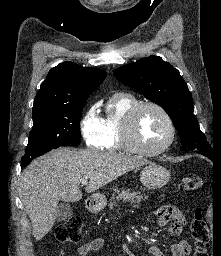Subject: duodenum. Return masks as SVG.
<instances>
[{
    "instance_id": "410a0bca",
    "label": "duodenum",
    "mask_w": 221,
    "mask_h": 256,
    "mask_svg": "<svg viewBox=\"0 0 221 256\" xmlns=\"http://www.w3.org/2000/svg\"><path fill=\"white\" fill-rule=\"evenodd\" d=\"M88 204H89L90 208H93L95 206V202H93V201H90Z\"/></svg>"
}]
</instances>
